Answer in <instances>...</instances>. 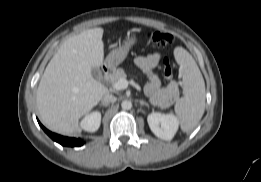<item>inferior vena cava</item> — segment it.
Listing matches in <instances>:
<instances>
[{
    "label": "inferior vena cava",
    "instance_id": "1",
    "mask_svg": "<svg viewBox=\"0 0 261 182\" xmlns=\"http://www.w3.org/2000/svg\"><path fill=\"white\" fill-rule=\"evenodd\" d=\"M116 101V97L110 93L105 94L102 98H101V102L103 104H107L109 105L110 103H114Z\"/></svg>",
    "mask_w": 261,
    "mask_h": 182
}]
</instances>
